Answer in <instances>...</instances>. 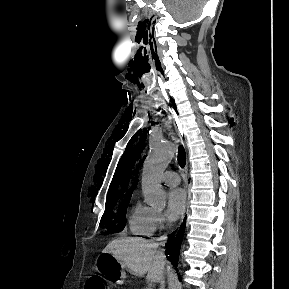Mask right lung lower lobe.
<instances>
[{
    "label": "right lung lower lobe",
    "mask_w": 289,
    "mask_h": 289,
    "mask_svg": "<svg viewBox=\"0 0 289 289\" xmlns=\"http://www.w3.org/2000/svg\"><path fill=\"white\" fill-rule=\"evenodd\" d=\"M184 227L185 226H182L179 231H174L172 234H170L168 242L166 243V251L168 254L167 258L175 267L178 263Z\"/></svg>",
    "instance_id": "right-lung-lower-lobe-1"
}]
</instances>
